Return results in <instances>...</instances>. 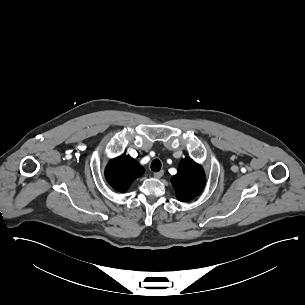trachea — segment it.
<instances>
[{
	"mask_svg": "<svg viewBox=\"0 0 305 305\" xmlns=\"http://www.w3.org/2000/svg\"><path fill=\"white\" fill-rule=\"evenodd\" d=\"M161 167H162V164H161L160 160L154 159V160L151 162V170H152V171L158 172V171H160Z\"/></svg>",
	"mask_w": 305,
	"mask_h": 305,
	"instance_id": "1",
	"label": "trachea"
}]
</instances>
